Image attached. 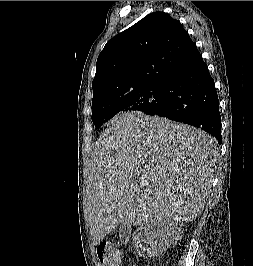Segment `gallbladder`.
<instances>
[{
	"label": "gallbladder",
	"mask_w": 253,
	"mask_h": 266,
	"mask_svg": "<svg viewBox=\"0 0 253 266\" xmlns=\"http://www.w3.org/2000/svg\"><path fill=\"white\" fill-rule=\"evenodd\" d=\"M124 231H129V227L128 226H125V225H121L120 226V231H119L120 232V235H119L120 238H122V235H123V232Z\"/></svg>",
	"instance_id": "1"
}]
</instances>
